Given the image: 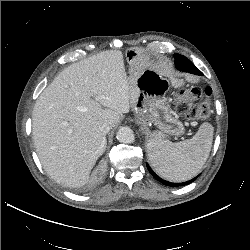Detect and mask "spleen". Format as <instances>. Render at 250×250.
Returning <instances> with one entry per match:
<instances>
[{
    "instance_id": "obj_1",
    "label": "spleen",
    "mask_w": 250,
    "mask_h": 250,
    "mask_svg": "<svg viewBox=\"0 0 250 250\" xmlns=\"http://www.w3.org/2000/svg\"><path fill=\"white\" fill-rule=\"evenodd\" d=\"M212 140L213 126L207 122L189 140L173 143L154 137L147 144L148 159L161 177L173 182L186 181L205 164Z\"/></svg>"
}]
</instances>
